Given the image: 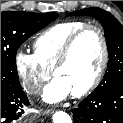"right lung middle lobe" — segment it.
I'll use <instances>...</instances> for the list:
<instances>
[{
    "label": "right lung middle lobe",
    "instance_id": "obj_1",
    "mask_svg": "<svg viewBox=\"0 0 123 123\" xmlns=\"http://www.w3.org/2000/svg\"><path fill=\"white\" fill-rule=\"evenodd\" d=\"M57 17V13L1 12V86H20L15 59L18 48Z\"/></svg>",
    "mask_w": 123,
    "mask_h": 123
}]
</instances>
